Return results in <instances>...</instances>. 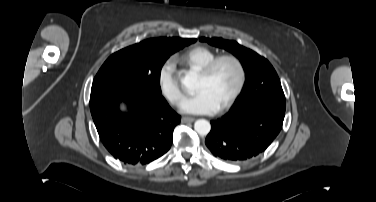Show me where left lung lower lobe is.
Masks as SVG:
<instances>
[{
	"label": "left lung lower lobe",
	"mask_w": 376,
	"mask_h": 202,
	"mask_svg": "<svg viewBox=\"0 0 376 202\" xmlns=\"http://www.w3.org/2000/svg\"><path fill=\"white\" fill-rule=\"evenodd\" d=\"M285 110L267 103L231 110L216 121L205 144L215 157L242 162L264 152L279 134Z\"/></svg>",
	"instance_id": "obj_1"
}]
</instances>
